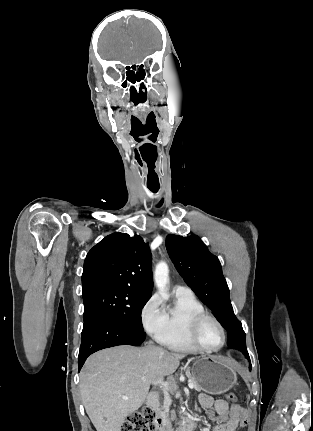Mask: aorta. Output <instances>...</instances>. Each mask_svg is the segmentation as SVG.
I'll return each mask as SVG.
<instances>
[{
	"label": "aorta",
	"instance_id": "1",
	"mask_svg": "<svg viewBox=\"0 0 313 431\" xmlns=\"http://www.w3.org/2000/svg\"><path fill=\"white\" fill-rule=\"evenodd\" d=\"M154 281L159 292L163 293L169 283V268L166 262L161 261L156 265Z\"/></svg>",
	"mask_w": 313,
	"mask_h": 431
}]
</instances>
